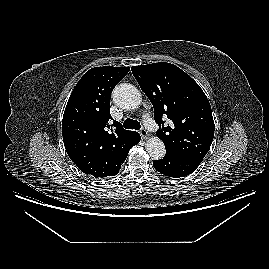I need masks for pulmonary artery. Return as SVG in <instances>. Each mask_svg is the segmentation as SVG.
<instances>
[{
  "instance_id": "obj_1",
  "label": "pulmonary artery",
  "mask_w": 269,
  "mask_h": 269,
  "mask_svg": "<svg viewBox=\"0 0 269 269\" xmlns=\"http://www.w3.org/2000/svg\"><path fill=\"white\" fill-rule=\"evenodd\" d=\"M145 127H146L148 130L152 131V127H151V124H150L149 122L145 123Z\"/></svg>"
}]
</instances>
